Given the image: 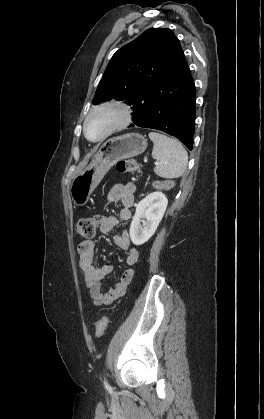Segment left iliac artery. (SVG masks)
<instances>
[{"label":"left iliac artery","instance_id":"44dca946","mask_svg":"<svg viewBox=\"0 0 264 419\" xmlns=\"http://www.w3.org/2000/svg\"><path fill=\"white\" fill-rule=\"evenodd\" d=\"M104 384L107 386V383H106V381H104Z\"/></svg>","mask_w":264,"mask_h":419}]
</instances>
